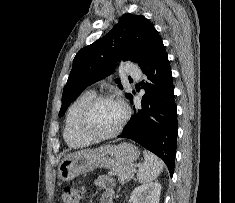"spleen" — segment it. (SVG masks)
Masks as SVG:
<instances>
[{
    "instance_id": "obj_1",
    "label": "spleen",
    "mask_w": 235,
    "mask_h": 203,
    "mask_svg": "<svg viewBox=\"0 0 235 203\" xmlns=\"http://www.w3.org/2000/svg\"><path fill=\"white\" fill-rule=\"evenodd\" d=\"M143 155L144 162L138 170L137 178L140 183H149L163 171L164 164L157 156L147 150L143 151Z\"/></svg>"
}]
</instances>
